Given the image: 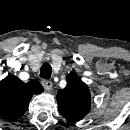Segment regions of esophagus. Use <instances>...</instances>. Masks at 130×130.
<instances>
[{"label": "esophagus", "instance_id": "esophagus-1", "mask_svg": "<svg viewBox=\"0 0 130 130\" xmlns=\"http://www.w3.org/2000/svg\"><path fill=\"white\" fill-rule=\"evenodd\" d=\"M42 85L47 90H50L53 87L52 82L50 80H46V79L42 80Z\"/></svg>", "mask_w": 130, "mask_h": 130}]
</instances>
